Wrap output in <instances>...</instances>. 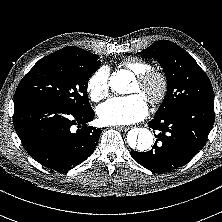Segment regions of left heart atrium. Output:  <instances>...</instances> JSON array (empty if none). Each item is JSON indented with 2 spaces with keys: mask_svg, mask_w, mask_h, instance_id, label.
<instances>
[{
  "mask_svg": "<svg viewBox=\"0 0 222 222\" xmlns=\"http://www.w3.org/2000/svg\"><path fill=\"white\" fill-rule=\"evenodd\" d=\"M147 113V101L139 93L112 98L97 108L100 121L108 125L132 124L145 118Z\"/></svg>",
  "mask_w": 222,
  "mask_h": 222,
  "instance_id": "left-heart-atrium-1",
  "label": "left heart atrium"
}]
</instances>
